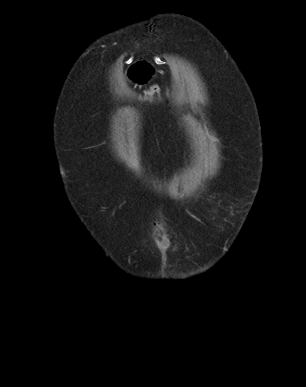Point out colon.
<instances>
[{
	"mask_svg": "<svg viewBox=\"0 0 306 387\" xmlns=\"http://www.w3.org/2000/svg\"><path fill=\"white\" fill-rule=\"evenodd\" d=\"M159 94H160V92H159V88L157 86L154 85L149 89L148 96L157 97V96H159Z\"/></svg>",
	"mask_w": 306,
	"mask_h": 387,
	"instance_id": "1",
	"label": "colon"
}]
</instances>
